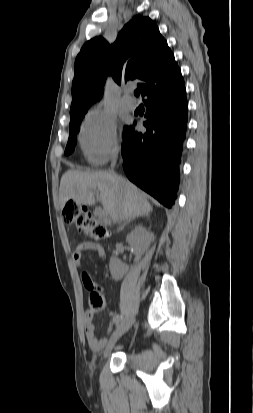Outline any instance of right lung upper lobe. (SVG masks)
<instances>
[{
	"label": "right lung upper lobe",
	"instance_id": "1",
	"mask_svg": "<svg viewBox=\"0 0 253 413\" xmlns=\"http://www.w3.org/2000/svg\"><path fill=\"white\" fill-rule=\"evenodd\" d=\"M111 75L117 84L139 81L142 96L172 92L184 84L174 55L156 24L137 15L119 32L114 44L102 37L87 41L75 61L70 121L85 115L102 97Z\"/></svg>",
	"mask_w": 253,
	"mask_h": 413
}]
</instances>
